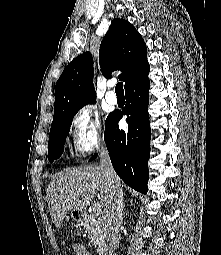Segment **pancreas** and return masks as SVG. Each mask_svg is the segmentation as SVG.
<instances>
[{
	"mask_svg": "<svg viewBox=\"0 0 221 255\" xmlns=\"http://www.w3.org/2000/svg\"><path fill=\"white\" fill-rule=\"evenodd\" d=\"M104 221L97 214H91L85 220L83 226L86 232H88L89 238L97 246V249L101 251L103 249L99 235L103 228Z\"/></svg>",
	"mask_w": 221,
	"mask_h": 255,
	"instance_id": "1",
	"label": "pancreas"
}]
</instances>
